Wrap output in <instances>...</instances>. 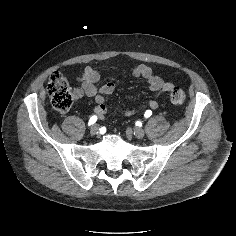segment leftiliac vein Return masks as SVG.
I'll return each mask as SVG.
<instances>
[{
  "instance_id": "left-iliac-vein-1",
  "label": "left iliac vein",
  "mask_w": 236,
  "mask_h": 236,
  "mask_svg": "<svg viewBox=\"0 0 236 236\" xmlns=\"http://www.w3.org/2000/svg\"><path fill=\"white\" fill-rule=\"evenodd\" d=\"M133 133H134L135 137L138 139H142L145 136V132L141 128L134 129Z\"/></svg>"
}]
</instances>
